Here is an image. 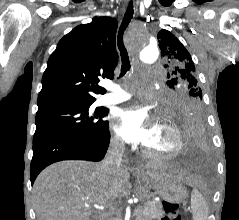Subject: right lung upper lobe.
I'll return each instance as SVG.
<instances>
[{"mask_svg": "<svg viewBox=\"0 0 239 220\" xmlns=\"http://www.w3.org/2000/svg\"><path fill=\"white\" fill-rule=\"evenodd\" d=\"M117 21L94 17L65 35L49 57L38 96V109L93 103L94 94L105 93L99 77L113 78L118 61Z\"/></svg>", "mask_w": 239, "mask_h": 220, "instance_id": "cb5924a9", "label": "right lung upper lobe"}]
</instances>
